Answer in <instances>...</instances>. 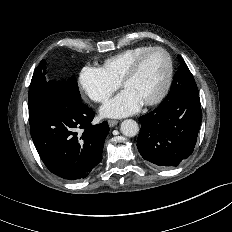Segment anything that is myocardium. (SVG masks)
<instances>
[{
    "label": "myocardium",
    "instance_id": "1",
    "mask_svg": "<svg viewBox=\"0 0 232 232\" xmlns=\"http://www.w3.org/2000/svg\"><path fill=\"white\" fill-rule=\"evenodd\" d=\"M156 51H160V52L164 53L165 56L167 57V61H168L167 77H166V81L164 83L162 90L159 92V94L156 97H154L153 99H151L149 101H146L144 103V105H146V106H154V105L160 103L167 96V94L171 88V85H172V81H173V77H174V64H173L172 56L165 48L159 47V46H154V47H150L147 50L141 52L131 62V64L129 65L128 69L126 70L125 74L123 75V77L120 81V86L124 88L125 84L136 75V73L138 72L139 67H140L141 63L143 62V60L145 59V57L153 52H156Z\"/></svg>",
    "mask_w": 232,
    "mask_h": 232
}]
</instances>
